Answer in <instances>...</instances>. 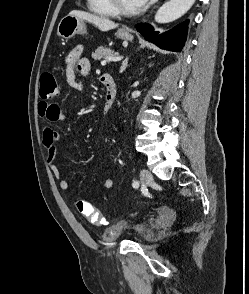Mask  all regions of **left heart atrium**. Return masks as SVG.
Returning a JSON list of instances; mask_svg holds the SVG:
<instances>
[{
	"label": "left heart atrium",
	"mask_w": 249,
	"mask_h": 294,
	"mask_svg": "<svg viewBox=\"0 0 249 294\" xmlns=\"http://www.w3.org/2000/svg\"><path fill=\"white\" fill-rule=\"evenodd\" d=\"M139 6L145 5L149 0H136Z\"/></svg>",
	"instance_id": "39dd6f15"
}]
</instances>
